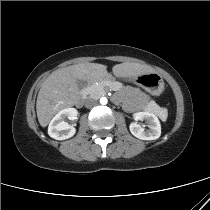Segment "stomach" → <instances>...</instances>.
<instances>
[{
    "mask_svg": "<svg viewBox=\"0 0 210 210\" xmlns=\"http://www.w3.org/2000/svg\"><path fill=\"white\" fill-rule=\"evenodd\" d=\"M131 80L151 95L158 96L164 90V81L156 72L133 76Z\"/></svg>",
    "mask_w": 210,
    "mask_h": 210,
    "instance_id": "1",
    "label": "stomach"
}]
</instances>
